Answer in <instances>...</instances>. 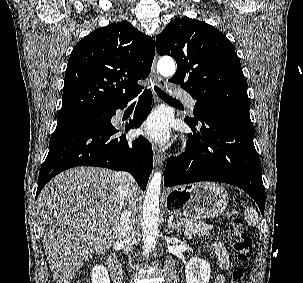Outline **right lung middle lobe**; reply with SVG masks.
<instances>
[{
    "mask_svg": "<svg viewBox=\"0 0 303 283\" xmlns=\"http://www.w3.org/2000/svg\"><path fill=\"white\" fill-rule=\"evenodd\" d=\"M109 111H91L79 113L74 115L62 116L57 118V127H64L70 125H93L100 126L110 122Z\"/></svg>",
    "mask_w": 303,
    "mask_h": 283,
    "instance_id": "dd1d6c3e",
    "label": "right lung middle lobe"
}]
</instances>
